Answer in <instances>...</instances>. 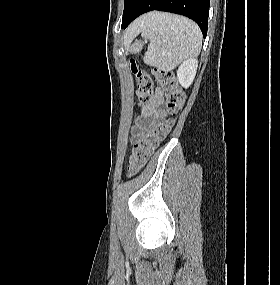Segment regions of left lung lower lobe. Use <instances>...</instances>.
I'll return each instance as SVG.
<instances>
[{
  "mask_svg": "<svg viewBox=\"0 0 280 285\" xmlns=\"http://www.w3.org/2000/svg\"><path fill=\"white\" fill-rule=\"evenodd\" d=\"M209 5V0H137L130 14L122 23V28L125 29L143 13L160 10L189 17L199 25L205 37L208 28Z\"/></svg>",
  "mask_w": 280,
  "mask_h": 285,
  "instance_id": "1",
  "label": "left lung lower lobe"
}]
</instances>
